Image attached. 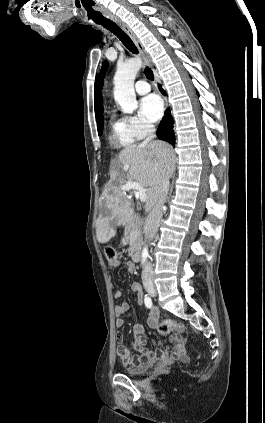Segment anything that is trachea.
I'll use <instances>...</instances> for the list:
<instances>
[{"instance_id": "1", "label": "trachea", "mask_w": 265, "mask_h": 423, "mask_svg": "<svg viewBox=\"0 0 265 423\" xmlns=\"http://www.w3.org/2000/svg\"><path fill=\"white\" fill-rule=\"evenodd\" d=\"M100 24L116 35L129 51L134 54H138V50L129 36L123 32L113 21L107 20L105 22H101ZM145 75L149 80H154L153 72L149 67H145Z\"/></svg>"}]
</instances>
